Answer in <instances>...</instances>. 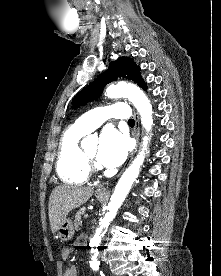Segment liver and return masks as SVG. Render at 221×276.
<instances>
[{"label":"liver","instance_id":"6515ba94","mask_svg":"<svg viewBox=\"0 0 221 276\" xmlns=\"http://www.w3.org/2000/svg\"><path fill=\"white\" fill-rule=\"evenodd\" d=\"M91 187L60 185L53 189L49 198V221L53 234L66 219L69 212L86 203L93 195Z\"/></svg>","mask_w":221,"mask_h":276}]
</instances>
